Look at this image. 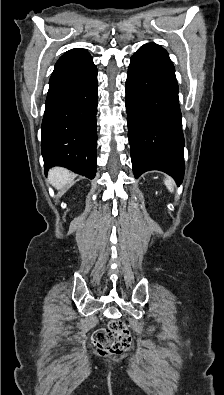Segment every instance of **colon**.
I'll return each instance as SVG.
<instances>
[{
	"mask_svg": "<svg viewBox=\"0 0 224 395\" xmlns=\"http://www.w3.org/2000/svg\"><path fill=\"white\" fill-rule=\"evenodd\" d=\"M93 343L100 356L117 355L131 346V334L121 321H112L106 327L97 329Z\"/></svg>",
	"mask_w": 224,
	"mask_h": 395,
	"instance_id": "obj_1",
	"label": "colon"
}]
</instances>
